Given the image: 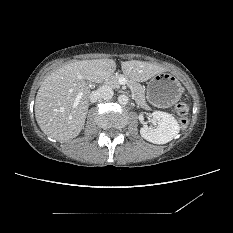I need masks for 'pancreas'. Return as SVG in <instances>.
I'll list each match as a JSON object with an SVG mask.
<instances>
[{
	"label": "pancreas",
	"mask_w": 233,
	"mask_h": 233,
	"mask_svg": "<svg viewBox=\"0 0 233 233\" xmlns=\"http://www.w3.org/2000/svg\"><path fill=\"white\" fill-rule=\"evenodd\" d=\"M123 77L122 74H115L109 77L106 81V83L112 87V88H120L119 79ZM127 78V77H126ZM128 79V78H127ZM130 84L133 87L135 99L137 104H139L141 107L146 106V100H145V89L141 86V84L137 83L136 81L128 79Z\"/></svg>",
	"instance_id": "obj_1"
}]
</instances>
